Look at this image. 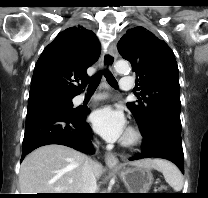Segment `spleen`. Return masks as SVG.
<instances>
[{"instance_id":"1","label":"spleen","mask_w":208,"mask_h":198,"mask_svg":"<svg viewBox=\"0 0 208 198\" xmlns=\"http://www.w3.org/2000/svg\"><path fill=\"white\" fill-rule=\"evenodd\" d=\"M159 170L163 173L165 181L175 190L181 191L183 176L179 169L168 161L158 160Z\"/></svg>"}]
</instances>
